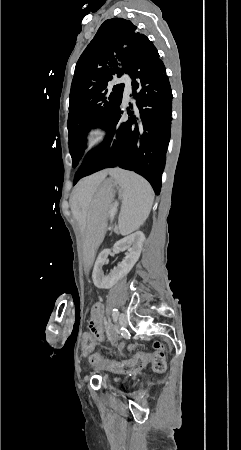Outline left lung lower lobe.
<instances>
[{"label": "left lung lower lobe", "instance_id": "left-lung-lower-lobe-1", "mask_svg": "<svg viewBox=\"0 0 241 450\" xmlns=\"http://www.w3.org/2000/svg\"><path fill=\"white\" fill-rule=\"evenodd\" d=\"M127 73L137 114L128 109L129 119L122 122L118 106L102 126L108 130L106 140L85 156L74 184L99 170L120 167L142 175L159 194L170 140L172 90L154 45L132 59Z\"/></svg>", "mask_w": 241, "mask_h": 450}]
</instances>
